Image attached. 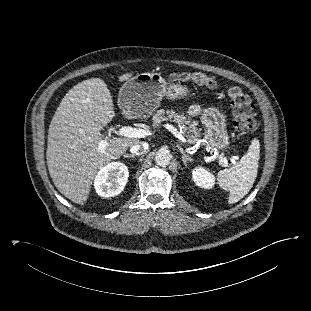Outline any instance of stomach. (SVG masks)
Here are the masks:
<instances>
[{"label":"stomach","instance_id":"1","mask_svg":"<svg viewBox=\"0 0 311 311\" xmlns=\"http://www.w3.org/2000/svg\"><path fill=\"white\" fill-rule=\"evenodd\" d=\"M190 90L180 84H170L158 73H141L126 81L118 94V105L123 113L133 118H148L160 106L163 97L169 100L183 99ZM226 116L219 109L209 107L201 115L205 126L204 138L210 154L230 146Z\"/></svg>","mask_w":311,"mask_h":311}]
</instances>
